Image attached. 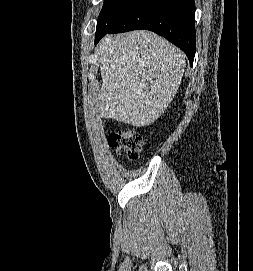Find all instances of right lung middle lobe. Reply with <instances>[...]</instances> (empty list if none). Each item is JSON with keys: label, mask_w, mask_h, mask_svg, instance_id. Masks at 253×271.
<instances>
[{"label": "right lung middle lobe", "mask_w": 253, "mask_h": 271, "mask_svg": "<svg viewBox=\"0 0 253 271\" xmlns=\"http://www.w3.org/2000/svg\"><path fill=\"white\" fill-rule=\"evenodd\" d=\"M134 0H105L97 21V32L110 29Z\"/></svg>", "instance_id": "dd1d6c3e"}]
</instances>
